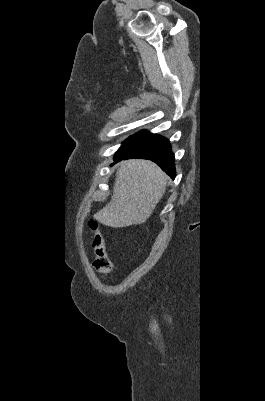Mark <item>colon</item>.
<instances>
[{"label":"colon","mask_w":265,"mask_h":401,"mask_svg":"<svg viewBox=\"0 0 265 401\" xmlns=\"http://www.w3.org/2000/svg\"><path fill=\"white\" fill-rule=\"evenodd\" d=\"M88 227L92 232V248L95 254L93 265L100 274L107 275L111 272L112 263L107 256L104 239L99 231L98 223L90 220Z\"/></svg>","instance_id":"colon-1"}]
</instances>
